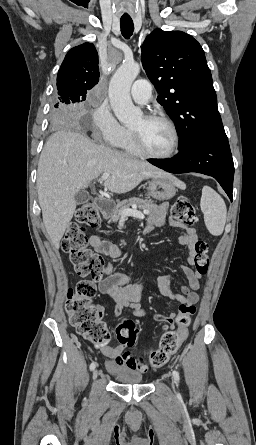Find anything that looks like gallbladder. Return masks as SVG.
I'll return each instance as SVG.
<instances>
[{"label":"gallbladder","mask_w":256,"mask_h":445,"mask_svg":"<svg viewBox=\"0 0 256 445\" xmlns=\"http://www.w3.org/2000/svg\"><path fill=\"white\" fill-rule=\"evenodd\" d=\"M90 200V195L86 191H79L75 195L76 204H84Z\"/></svg>","instance_id":"gallbladder-1"}]
</instances>
